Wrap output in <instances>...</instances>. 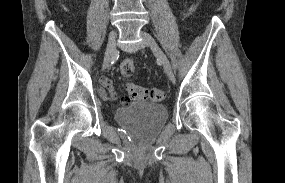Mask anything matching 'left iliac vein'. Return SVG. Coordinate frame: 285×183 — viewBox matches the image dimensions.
I'll list each match as a JSON object with an SVG mask.
<instances>
[{"label": "left iliac vein", "mask_w": 285, "mask_h": 183, "mask_svg": "<svg viewBox=\"0 0 285 183\" xmlns=\"http://www.w3.org/2000/svg\"><path fill=\"white\" fill-rule=\"evenodd\" d=\"M141 36L143 38V41L145 44L150 47L154 55L157 57L158 61L162 65L165 73L167 74L168 78L172 81L175 82V76L171 67V64L164 54V52L161 50L155 39L148 33L142 31Z\"/></svg>", "instance_id": "4c4485c4"}]
</instances>
